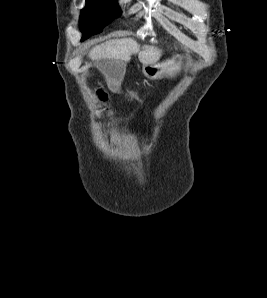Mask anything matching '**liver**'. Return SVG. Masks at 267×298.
Masks as SVG:
<instances>
[{
	"label": "liver",
	"instance_id": "liver-1",
	"mask_svg": "<svg viewBox=\"0 0 267 298\" xmlns=\"http://www.w3.org/2000/svg\"><path fill=\"white\" fill-rule=\"evenodd\" d=\"M138 53L143 65L156 64L162 56V50L155 46H140L132 38L113 39L94 47L89 52L92 60L111 59L128 62L133 54Z\"/></svg>",
	"mask_w": 267,
	"mask_h": 298
}]
</instances>
